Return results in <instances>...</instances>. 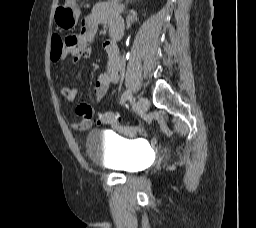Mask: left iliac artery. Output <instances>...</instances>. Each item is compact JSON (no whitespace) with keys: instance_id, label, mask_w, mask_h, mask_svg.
I'll return each mask as SVG.
<instances>
[{"instance_id":"left-iliac-artery-1","label":"left iliac artery","mask_w":256,"mask_h":228,"mask_svg":"<svg viewBox=\"0 0 256 228\" xmlns=\"http://www.w3.org/2000/svg\"><path fill=\"white\" fill-rule=\"evenodd\" d=\"M127 99H132V93L130 90H127L125 91L121 98H120V104H124V102L127 100Z\"/></svg>"}]
</instances>
